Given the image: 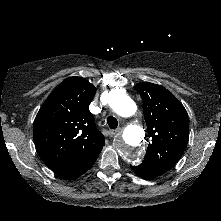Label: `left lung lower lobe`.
Returning <instances> with one entry per match:
<instances>
[{"instance_id":"obj_1","label":"left lung lower lobe","mask_w":221,"mask_h":221,"mask_svg":"<svg viewBox=\"0 0 221 221\" xmlns=\"http://www.w3.org/2000/svg\"><path fill=\"white\" fill-rule=\"evenodd\" d=\"M130 167L135 174H137L139 177H142L144 179H152L161 175L153 167L145 163H141L139 166H130Z\"/></svg>"}]
</instances>
